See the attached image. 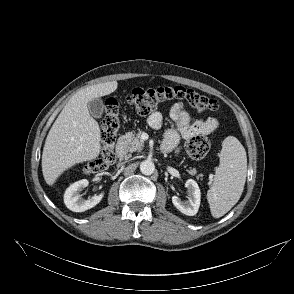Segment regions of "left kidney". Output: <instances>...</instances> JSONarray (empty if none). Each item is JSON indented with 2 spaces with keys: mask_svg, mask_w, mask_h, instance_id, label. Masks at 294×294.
Instances as JSON below:
<instances>
[{
  "mask_svg": "<svg viewBox=\"0 0 294 294\" xmlns=\"http://www.w3.org/2000/svg\"><path fill=\"white\" fill-rule=\"evenodd\" d=\"M185 186L189 193L188 200L181 201L177 196H172V203L181 213L194 216L197 214L200 206L201 192L198 184L193 179H188Z\"/></svg>",
  "mask_w": 294,
  "mask_h": 294,
  "instance_id": "obj_1",
  "label": "left kidney"
}]
</instances>
